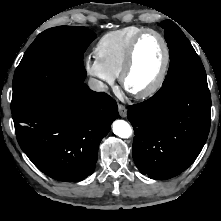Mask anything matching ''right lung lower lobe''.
Instances as JSON below:
<instances>
[{
  "instance_id": "1",
  "label": "right lung lower lobe",
  "mask_w": 221,
  "mask_h": 221,
  "mask_svg": "<svg viewBox=\"0 0 221 221\" xmlns=\"http://www.w3.org/2000/svg\"><path fill=\"white\" fill-rule=\"evenodd\" d=\"M66 79L68 87L12 117L32 163L53 179L77 182L93 173L99 144L119 114L106 93L90 90L82 78Z\"/></svg>"
}]
</instances>
